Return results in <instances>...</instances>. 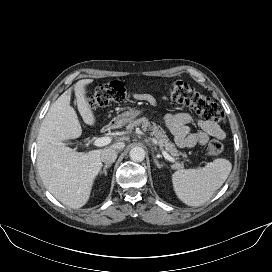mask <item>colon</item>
I'll list each match as a JSON object with an SVG mask.
<instances>
[{"label":"colon","instance_id":"1","mask_svg":"<svg viewBox=\"0 0 272 272\" xmlns=\"http://www.w3.org/2000/svg\"><path fill=\"white\" fill-rule=\"evenodd\" d=\"M169 94L173 100L193 109L205 120L215 122L224 120V113L220 106L186 82H174L169 89ZM127 96L128 90L124 83L111 81L95 88L89 97V105L90 107H104L121 102ZM206 151L210 156H217L223 151V144L218 140H212L208 143Z\"/></svg>","mask_w":272,"mask_h":272}]
</instances>
